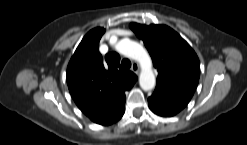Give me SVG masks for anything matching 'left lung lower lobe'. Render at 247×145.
I'll use <instances>...</instances> for the list:
<instances>
[{
    "mask_svg": "<svg viewBox=\"0 0 247 145\" xmlns=\"http://www.w3.org/2000/svg\"><path fill=\"white\" fill-rule=\"evenodd\" d=\"M191 98L173 92L161 86H156L154 93L148 98L152 112L159 116L170 117L180 112Z\"/></svg>",
    "mask_w": 247,
    "mask_h": 145,
    "instance_id": "obj_1",
    "label": "left lung lower lobe"
}]
</instances>
